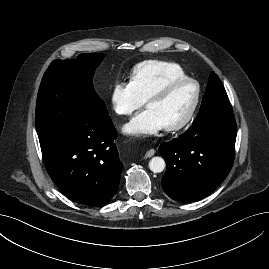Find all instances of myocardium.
<instances>
[{
  "mask_svg": "<svg viewBox=\"0 0 269 269\" xmlns=\"http://www.w3.org/2000/svg\"><path fill=\"white\" fill-rule=\"evenodd\" d=\"M184 84H193L195 86L194 100H193V103H192L189 111L187 112L186 116L180 122H178L174 125H171V126L164 127V129L168 132L180 131V130L184 129L185 127H187L190 124V122L192 121V119H193V117L198 109L200 99H201V88H200V84L198 83V81L193 79V78H189V77L170 81L166 85H164L163 87H161L160 89H158L157 91L152 93L146 100L145 104L147 106L151 102L158 101V100L165 98L174 88L181 86V85H184Z\"/></svg>",
  "mask_w": 269,
  "mask_h": 269,
  "instance_id": "obj_1",
  "label": "myocardium"
}]
</instances>
